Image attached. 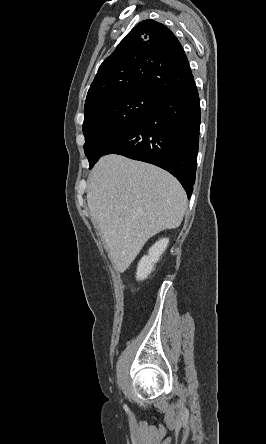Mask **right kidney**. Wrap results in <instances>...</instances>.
I'll return each instance as SVG.
<instances>
[{"instance_id":"ca27d5eb","label":"right kidney","mask_w":266,"mask_h":444,"mask_svg":"<svg viewBox=\"0 0 266 444\" xmlns=\"http://www.w3.org/2000/svg\"><path fill=\"white\" fill-rule=\"evenodd\" d=\"M168 243L169 239L163 238L149 249L148 255L144 256L138 264L136 273L137 280H144L148 277L153 271L154 265L158 262L160 256L167 248Z\"/></svg>"}]
</instances>
